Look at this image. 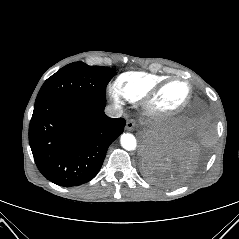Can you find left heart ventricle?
Returning a JSON list of instances; mask_svg holds the SVG:
<instances>
[{"label":"left heart ventricle","instance_id":"obj_1","mask_svg":"<svg viewBox=\"0 0 239 239\" xmlns=\"http://www.w3.org/2000/svg\"><path fill=\"white\" fill-rule=\"evenodd\" d=\"M187 95V87L183 83L170 85L158 99V106L164 109H172L178 106Z\"/></svg>","mask_w":239,"mask_h":239}]
</instances>
